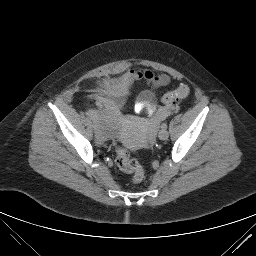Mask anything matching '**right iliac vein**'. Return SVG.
Instances as JSON below:
<instances>
[{
	"label": "right iliac vein",
	"mask_w": 256,
	"mask_h": 256,
	"mask_svg": "<svg viewBox=\"0 0 256 256\" xmlns=\"http://www.w3.org/2000/svg\"><path fill=\"white\" fill-rule=\"evenodd\" d=\"M89 120H90V121H93V122H92V125H93L94 127H96V130H97L98 132H100L101 130H100V128L98 127L99 122H98L97 120H95V117H94V116H90V117H89Z\"/></svg>",
	"instance_id": "1"
}]
</instances>
